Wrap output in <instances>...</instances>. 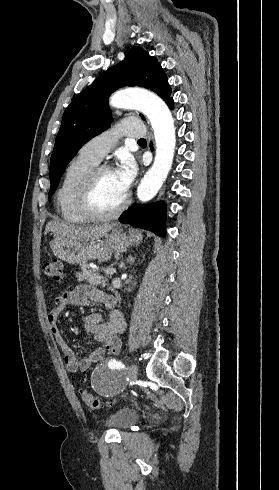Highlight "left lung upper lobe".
<instances>
[{"mask_svg": "<svg viewBox=\"0 0 279 490\" xmlns=\"http://www.w3.org/2000/svg\"><path fill=\"white\" fill-rule=\"evenodd\" d=\"M123 86H140L157 93L165 102L171 88L157 59L141 47H132L125 59L99 75L66 108L51 155L49 197L55 192L66 165L91 138L110 126V94ZM143 119V115H140Z\"/></svg>", "mask_w": 279, "mask_h": 490, "instance_id": "5c2ea615", "label": "left lung upper lobe"}]
</instances>
